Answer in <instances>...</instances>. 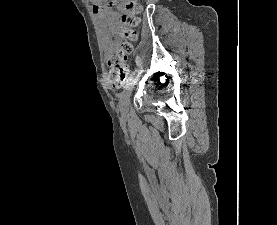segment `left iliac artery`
<instances>
[{
    "mask_svg": "<svg viewBox=\"0 0 277 225\" xmlns=\"http://www.w3.org/2000/svg\"><path fill=\"white\" fill-rule=\"evenodd\" d=\"M136 72L134 71L127 79L125 82V86L134 78Z\"/></svg>",
    "mask_w": 277,
    "mask_h": 225,
    "instance_id": "left-iliac-artery-1",
    "label": "left iliac artery"
}]
</instances>
